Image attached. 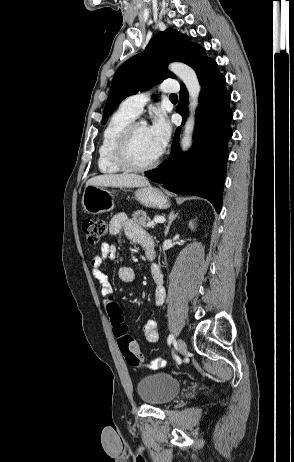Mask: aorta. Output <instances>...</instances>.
Wrapping results in <instances>:
<instances>
[{
    "mask_svg": "<svg viewBox=\"0 0 294 462\" xmlns=\"http://www.w3.org/2000/svg\"><path fill=\"white\" fill-rule=\"evenodd\" d=\"M169 69L178 76L185 84L189 93V111L190 115L184 126V134L181 140L183 151H187L192 144V134L195 124V110L198 106V97L201 91L195 71L184 63H171Z\"/></svg>",
    "mask_w": 294,
    "mask_h": 462,
    "instance_id": "762f6f07",
    "label": "aorta"
}]
</instances>
